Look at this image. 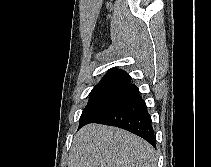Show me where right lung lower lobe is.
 Masks as SVG:
<instances>
[{"label": "right lung lower lobe", "mask_w": 211, "mask_h": 167, "mask_svg": "<svg viewBox=\"0 0 211 167\" xmlns=\"http://www.w3.org/2000/svg\"><path fill=\"white\" fill-rule=\"evenodd\" d=\"M89 123L105 124L128 130L156 147L151 116L134 84L95 118L80 125L79 128Z\"/></svg>", "instance_id": "right-lung-lower-lobe-1"}]
</instances>
